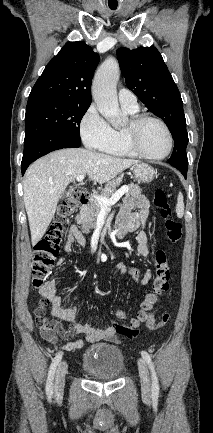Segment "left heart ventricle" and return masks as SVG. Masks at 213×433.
Masks as SVG:
<instances>
[{
    "instance_id": "obj_1",
    "label": "left heart ventricle",
    "mask_w": 213,
    "mask_h": 433,
    "mask_svg": "<svg viewBox=\"0 0 213 433\" xmlns=\"http://www.w3.org/2000/svg\"><path fill=\"white\" fill-rule=\"evenodd\" d=\"M139 143L142 149L151 155H162L167 151L169 146L165 130L154 121H147L141 126Z\"/></svg>"
}]
</instances>
